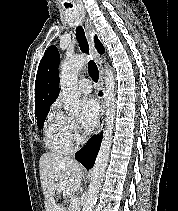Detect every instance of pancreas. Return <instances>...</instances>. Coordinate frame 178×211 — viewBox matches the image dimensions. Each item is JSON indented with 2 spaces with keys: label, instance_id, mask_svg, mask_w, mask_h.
<instances>
[{
  "label": "pancreas",
  "instance_id": "1",
  "mask_svg": "<svg viewBox=\"0 0 178 211\" xmlns=\"http://www.w3.org/2000/svg\"><path fill=\"white\" fill-rule=\"evenodd\" d=\"M68 211H80V209H79V207L73 209L71 204H70Z\"/></svg>",
  "mask_w": 178,
  "mask_h": 211
}]
</instances>
